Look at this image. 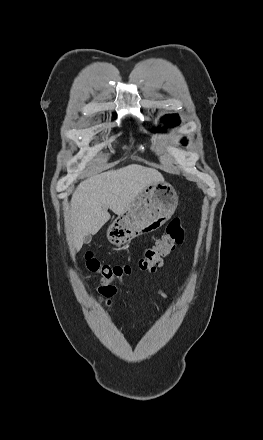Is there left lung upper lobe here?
<instances>
[{"mask_svg": "<svg viewBox=\"0 0 263 440\" xmlns=\"http://www.w3.org/2000/svg\"><path fill=\"white\" fill-rule=\"evenodd\" d=\"M163 121L168 125V126H175L177 124H179V118L177 115H166L163 118ZM184 142V141H182Z\"/></svg>", "mask_w": 263, "mask_h": 440, "instance_id": "obj_1", "label": "left lung upper lobe"}]
</instances>
